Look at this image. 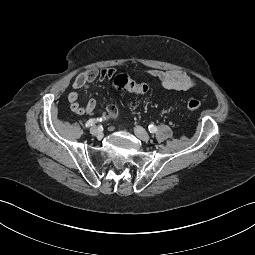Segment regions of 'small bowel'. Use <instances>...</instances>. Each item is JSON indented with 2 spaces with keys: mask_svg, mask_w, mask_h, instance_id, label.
Returning <instances> with one entry per match:
<instances>
[{
  "mask_svg": "<svg viewBox=\"0 0 255 255\" xmlns=\"http://www.w3.org/2000/svg\"><path fill=\"white\" fill-rule=\"evenodd\" d=\"M114 74L115 70L113 68H91L80 73L72 83L74 90L68 93V101L72 112L77 115L93 113L97 105L96 100L91 98L85 106L81 105L78 101L77 90L86 89L97 80H108ZM146 74L156 78L161 86L168 90L186 91L197 86V82L192 76L177 70L149 69ZM107 113L110 117H114L116 107L113 104L108 105Z\"/></svg>",
  "mask_w": 255,
  "mask_h": 255,
  "instance_id": "obj_1",
  "label": "small bowel"
}]
</instances>
